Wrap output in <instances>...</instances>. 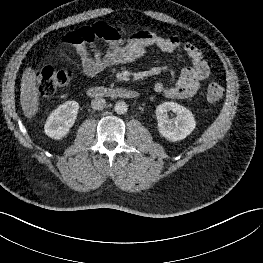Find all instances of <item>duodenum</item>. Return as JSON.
I'll return each instance as SVG.
<instances>
[{
    "label": "duodenum",
    "mask_w": 263,
    "mask_h": 263,
    "mask_svg": "<svg viewBox=\"0 0 263 263\" xmlns=\"http://www.w3.org/2000/svg\"><path fill=\"white\" fill-rule=\"evenodd\" d=\"M87 95L90 98H124V99H137L139 93L129 88H109L103 86H93L88 88Z\"/></svg>",
    "instance_id": "obj_1"
}]
</instances>
